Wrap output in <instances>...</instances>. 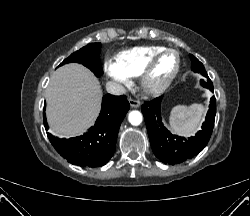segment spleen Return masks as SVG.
Masks as SVG:
<instances>
[{
  "mask_svg": "<svg viewBox=\"0 0 250 216\" xmlns=\"http://www.w3.org/2000/svg\"><path fill=\"white\" fill-rule=\"evenodd\" d=\"M204 111V106L201 104L174 107L169 118L171 129L184 136L193 135L199 130Z\"/></svg>",
  "mask_w": 250,
  "mask_h": 216,
  "instance_id": "obj_1",
  "label": "spleen"
}]
</instances>
